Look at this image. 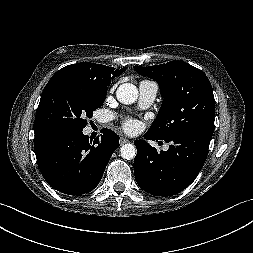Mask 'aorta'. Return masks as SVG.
I'll use <instances>...</instances> for the list:
<instances>
[{
    "label": "aorta",
    "instance_id": "aorta-1",
    "mask_svg": "<svg viewBox=\"0 0 253 253\" xmlns=\"http://www.w3.org/2000/svg\"><path fill=\"white\" fill-rule=\"evenodd\" d=\"M116 97L123 104H132L138 98V89L134 84L124 83L116 91ZM121 157L127 160L136 156V148L133 144H125L120 148Z\"/></svg>",
    "mask_w": 253,
    "mask_h": 253
}]
</instances>
